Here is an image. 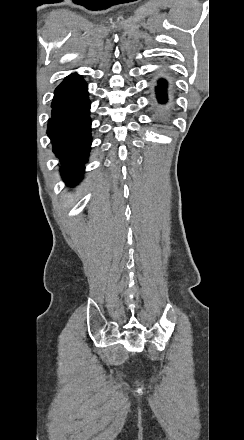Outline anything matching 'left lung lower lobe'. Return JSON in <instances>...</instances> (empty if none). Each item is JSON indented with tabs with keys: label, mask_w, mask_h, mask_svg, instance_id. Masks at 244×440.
Returning <instances> with one entry per match:
<instances>
[{
	"label": "left lung lower lobe",
	"mask_w": 244,
	"mask_h": 440,
	"mask_svg": "<svg viewBox=\"0 0 244 440\" xmlns=\"http://www.w3.org/2000/svg\"><path fill=\"white\" fill-rule=\"evenodd\" d=\"M166 88H167V82L165 80H160L158 82L157 87V98L160 103H165L167 101V94H166ZM161 124L168 125L167 123V117H160Z\"/></svg>",
	"instance_id": "left-lung-lower-lobe-1"
}]
</instances>
